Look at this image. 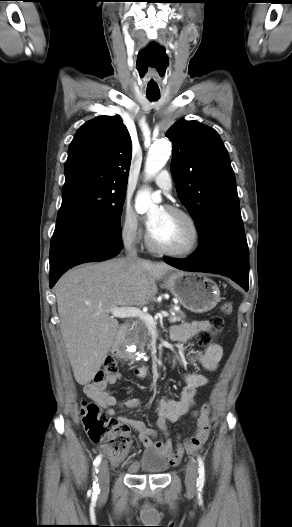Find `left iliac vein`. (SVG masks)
Instances as JSON below:
<instances>
[{
    "instance_id": "left-iliac-vein-1",
    "label": "left iliac vein",
    "mask_w": 292,
    "mask_h": 527,
    "mask_svg": "<svg viewBox=\"0 0 292 527\" xmlns=\"http://www.w3.org/2000/svg\"><path fill=\"white\" fill-rule=\"evenodd\" d=\"M197 478L196 464L193 461H189L186 470L185 484L189 492H193L195 489V481Z\"/></svg>"
}]
</instances>
